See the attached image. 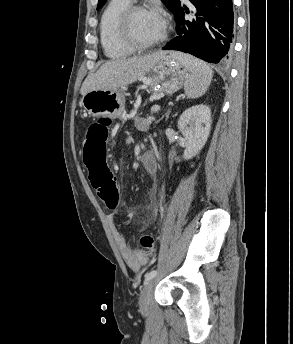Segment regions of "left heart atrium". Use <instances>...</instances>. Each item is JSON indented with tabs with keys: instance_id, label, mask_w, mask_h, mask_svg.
<instances>
[{
	"instance_id": "obj_1",
	"label": "left heart atrium",
	"mask_w": 293,
	"mask_h": 344,
	"mask_svg": "<svg viewBox=\"0 0 293 344\" xmlns=\"http://www.w3.org/2000/svg\"><path fill=\"white\" fill-rule=\"evenodd\" d=\"M158 19H159V22H160L161 26L164 28L165 27V22H164L163 18L160 15H158Z\"/></svg>"
}]
</instances>
